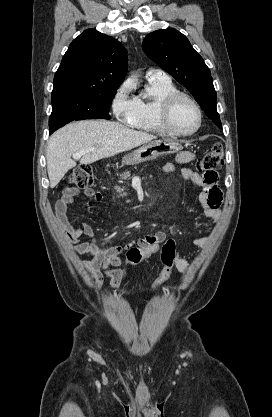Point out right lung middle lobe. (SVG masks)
Instances as JSON below:
<instances>
[{"label":"right lung middle lobe","instance_id":"1","mask_svg":"<svg viewBox=\"0 0 272 417\" xmlns=\"http://www.w3.org/2000/svg\"><path fill=\"white\" fill-rule=\"evenodd\" d=\"M117 88L102 92L52 94L50 134L73 120L110 119V104Z\"/></svg>","mask_w":272,"mask_h":417}]
</instances>
